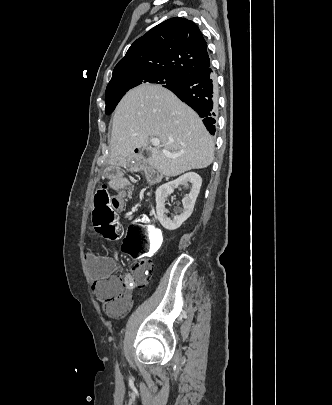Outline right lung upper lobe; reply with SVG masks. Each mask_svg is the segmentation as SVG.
<instances>
[{
    "mask_svg": "<svg viewBox=\"0 0 332 405\" xmlns=\"http://www.w3.org/2000/svg\"><path fill=\"white\" fill-rule=\"evenodd\" d=\"M209 64L207 43L198 26L191 20L174 17L137 39L115 66L111 80L134 72L185 77Z\"/></svg>",
    "mask_w": 332,
    "mask_h": 405,
    "instance_id": "obj_1",
    "label": "right lung upper lobe"
}]
</instances>
